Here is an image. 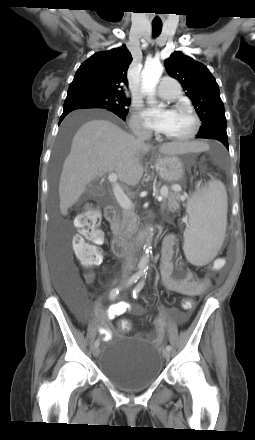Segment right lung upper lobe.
<instances>
[{"mask_svg": "<svg viewBox=\"0 0 255 440\" xmlns=\"http://www.w3.org/2000/svg\"><path fill=\"white\" fill-rule=\"evenodd\" d=\"M131 61L126 46L95 53L77 70L67 97L90 92L125 95Z\"/></svg>", "mask_w": 255, "mask_h": 440, "instance_id": "cb5924a9", "label": "right lung upper lobe"}]
</instances>
